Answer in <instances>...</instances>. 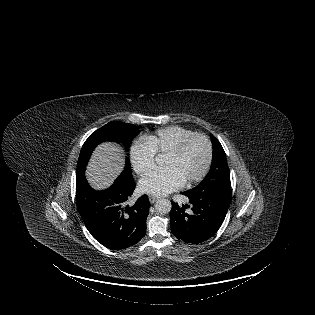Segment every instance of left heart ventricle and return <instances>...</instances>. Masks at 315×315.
<instances>
[{"mask_svg":"<svg viewBox=\"0 0 315 315\" xmlns=\"http://www.w3.org/2000/svg\"><path fill=\"white\" fill-rule=\"evenodd\" d=\"M207 156L204 140L195 139L179 156L166 155L163 164L174 168L186 180L196 176L202 170Z\"/></svg>","mask_w":315,"mask_h":315,"instance_id":"b2bd125f","label":"left heart ventricle"}]
</instances>
